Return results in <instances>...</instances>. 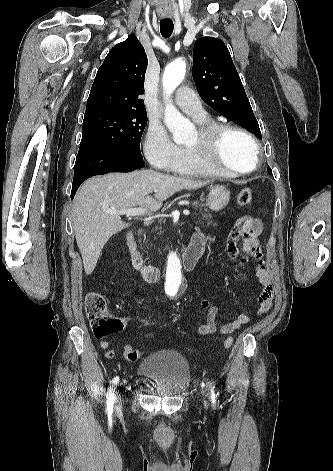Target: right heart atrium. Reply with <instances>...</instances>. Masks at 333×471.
Returning <instances> with one entry per match:
<instances>
[{"instance_id":"1","label":"right heart atrium","mask_w":333,"mask_h":471,"mask_svg":"<svg viewBox=\"0 0 333 471\" xmlns=\"http://www.w3.org/2000/svg\"><path fill=\"white\" fill-rule=\"evenodd\" d=\"M143 149L149 163L155 169L166 172L173 171L183 155V148L178 146L158 124H151L148 127Z\"/></svg>"}]
</instances>
